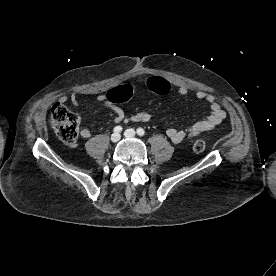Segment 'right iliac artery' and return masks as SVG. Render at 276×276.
<instances>
[{
    "label": "right iliac artery",
    "mask_w": 276,
    "mask_h": 276,
    "mask_svg": "<svg viewBox=\"0 0 276 276\" xmlns=\"http://www.w3.org/2000/svg\"><path fill=\"white\" fill-rule=\"evenodd\" d=\"M122 131V127L121 126H116L115 128H114V132L115 133H120Z\"/></svg>",
    "instance_id": "82829eb1"
}]
</instances>
